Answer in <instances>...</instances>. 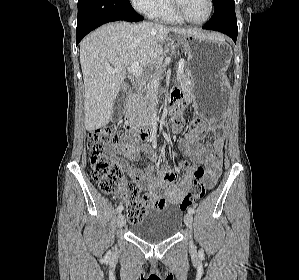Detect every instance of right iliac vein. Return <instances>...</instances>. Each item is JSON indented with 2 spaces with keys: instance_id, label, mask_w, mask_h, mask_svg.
Instances as JSON below:
<instances>
[{
  "instance_id": "63e3f726",
  "label": "right iliac vein",
  "mask_w": 299,
  "mask_h": 280,
  "mask_svg": "<svg viewBox=\"0 0 299 280\" xmlns=\"http://www.w3.org/2000/svg\"><path fill=\"white\" fill-rule=\"evenodd\" d=\"M126 223L125 217L123 214H119L117 217V225L119 228H122Z\"/></svg>"
}]
</instances>
